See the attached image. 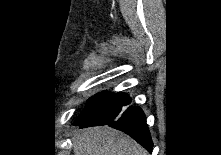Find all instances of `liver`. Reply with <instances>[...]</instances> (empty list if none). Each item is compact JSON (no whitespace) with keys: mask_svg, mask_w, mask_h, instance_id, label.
<instances>
[{"mask_svg":"<svg viewBox=\"0 0 221 155\" xmlns=\"http://www.w3.org/2000/svg\"><path fill=\"white\" fill-rule=\"evenodd\" d=\"M73 148L74 155H147L129 136L108 126L77 131Z\"/></svg>","mask_w":221,"mask_h":155,"instance_id":"1","label":"liver"}]
</instances>
